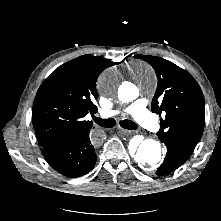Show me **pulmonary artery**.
<instances>
[{
	"instance_id": "e3ab8cb5",
	"label": "pulmonary artery",
	"mask_w": 221,
	"mask_h": 221,
	"mask_svg": "<svg viewBox=\"0 0 221 221\" xmlns=\"http://www.w3.org/2000/svg\"><path fill=\"white\" fill-rule=\"evenodd\" d=\"M146 106V100L140 99L129 105L126 111L132 114L138 122L148 130L157 132L160 130L161 124L154 115L148 112ZM116 114L117 112L114 110H103L100 116L107 119L115 116Z\"/></svg>"
}]
</instances>
